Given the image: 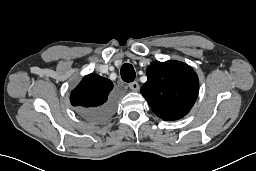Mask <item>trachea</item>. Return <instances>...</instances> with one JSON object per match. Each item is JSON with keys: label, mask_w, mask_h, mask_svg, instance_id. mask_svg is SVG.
<instances>
[{"label": "trachea", "mask_w": 256, "mask_h": 171, "mask_svg": "<svg viewBox=\"0 0 256 171\" xmlns=\"http://www.w3.org/2000/svg\"><path fill=\"white\" fill-rule=\"evenodd\" d=\"M121 78L123 81L130 83L135 80L136 73L133 66L129 63H125L122 65L120 70Z\"/></svg>", "instance_id": "obj_1"}]
</instances>
